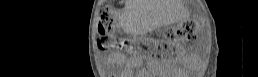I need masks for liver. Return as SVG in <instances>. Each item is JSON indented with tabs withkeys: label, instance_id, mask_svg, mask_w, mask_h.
Returning a JSON list of instances; mask_svg holds the SVG:
<instances>
[{
	"label": "liver",
	"instance_id": "6515ba94",
	"mask_svg": "<svg viewBox=\"0 0 258 77\" xmlns=\"http://www.w3.org/2000/svg\"><path fill=\"white\" fill-rule=\"evenodd\" d=\"M139 3H140V1H138V0H129L127 2L128 9H129V16L132 17V19L138 17L140 15V13H141V9L139 7Z\"/></svg>",
	"mask_w": 258,
	"mask_h": 77
}]
</instances>
